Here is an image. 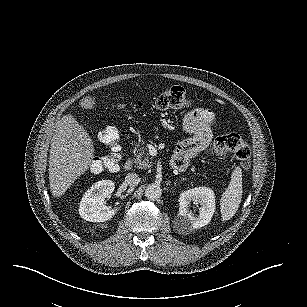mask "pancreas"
Wrapping results in <instances>:
<instances>
[{"instance_id": "pancreas-1", "label": "pancreas", "mask_w": 307, "mask_h": 307, "mask_svg": "<svg viewBox=\"0 0 307 307\" xmlns=\"http://www.w3.org/2000/svg\"><path fill=\"white\" fill-rule=\"evenodd\" d=\"M133 159L134 165L138 169H149L152 167V162L150 161L149 153L147 148L140 147L137 152L134 154Z\"/></svg>"}]
</instances>
